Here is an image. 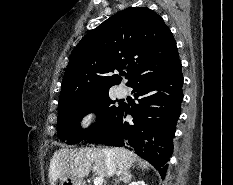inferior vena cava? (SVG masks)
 <instances>
[{
	"instance_id": "1",
	"label": "inferior vena cava",
	"mask_w": 233,
	"mask_h": 185,
	"mask_svg": "<svg viewBox=\"0 0 233 185\" xmlns=\"http://www.w3.org/2000/svg\"><path fill=\"white\" fill-rule=\"evenodd\" d=\"M105 164H106L108 176H112L113 174L116 173L115 164L109 154H106Z\"/></svg>"
}]
</instances>
